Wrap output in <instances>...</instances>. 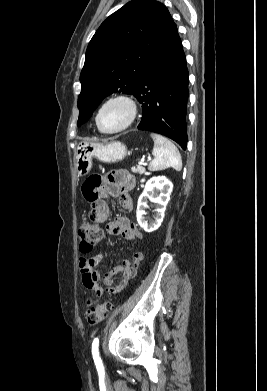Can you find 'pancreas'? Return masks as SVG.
<instances>
[{"label":"pancreas","mask_w":267,"mask_h":391,"mask_svg":"<svg viewBox=\"0 0 267 391\" xmlns=\"http://www.w3.org/2000/svg\"><path fill=\"white\" fill-rule=\"evenodd\" d=\"M131 171H132L133 173L143 174V173H145V168L142 167V166H136V167H132V168H131Z\"/></svg>","instance_id":"1"}]
</instances>
